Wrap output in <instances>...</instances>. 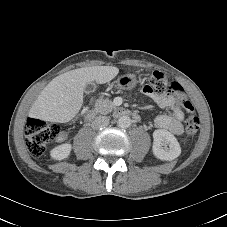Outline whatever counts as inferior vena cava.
Here are the masks:
<instances>
[{"label":"inferior vena cava","mask_w":227,"mask_h":227,"mask_svg":"<svg viewBox=\"0 0 227 227\" xmlns=\"http://www.w3.org/2000/svg\"><path fill=\"white\" fill-rule=\"evenodd\" d=\"M109 124V118L106 116H98L92 122L93 129H99L101 127L107 126Z\"/></svg>","instance_id":"1"}]
</instances>
